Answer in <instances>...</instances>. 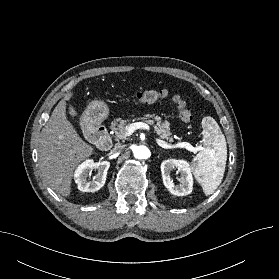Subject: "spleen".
I'll return each mask as SVG.
<instances>
[{"label":"spleen","mask_w":279,"mask_h":279,"mask_svg":"<svg viewBox=\"0 0 279 279\" xmlns=\"http://www.w3.org/2000/svg\"><path fill=\"white\" fill-rule=\"evenodd\" d=\"M203 150L192 161V171L201 184L205 195H211L222 182L226 160L227 145L219 125L212 117L202 120Z\"/></svg>","instance_id":"obj_1"}]
</instances>
